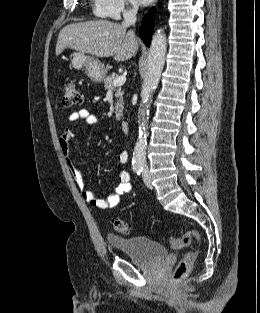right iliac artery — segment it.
Returning a JSON list of instances; mask_svg holds the SVG:
<instances>
[{
    "label": "right iliac artery",
    "mask_w": 260,
    "mask_h": 313,
    "mask_svg": "<svg viewBox=\"0 0 260 313\" xmlns=\"http://www.w3.org/2000/svg\"><path fill=\"white\" fill-rule=\"evenodd\" d=\"M133 170L137 175H140V173L143 171V166L139 164L133 165Z\"/></svg>",
    "instance_id": "obj_1"
}]
</instances>
